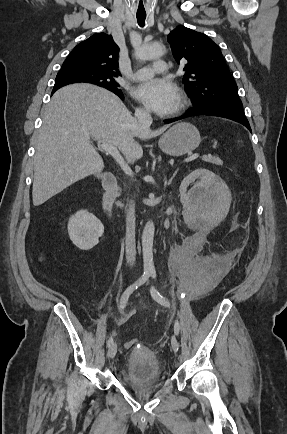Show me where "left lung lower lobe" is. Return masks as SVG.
<instances>
[{
    "label": "left lung lower lobe",
    "instance_id": "1",
    "mask_svg": "<svg viewBox=\"0 0 287 434\" xmlns=\"http://www.w3.org/2000/svg\"><path fill=\"white\" fill-rule=\"evenodd\" d=\"M197 115H211V116H218V117L231 119L246 126L247 129L251 131L249 122L245 116L242 105L223 104V105L213 106V107L194 106L190 108L184 115L175 119L165 120L164 122L168 124L186 117L197 116Z\"/></svg>",
    "mask_w": 287,
    "mask_h": 434
}]
</instances>
